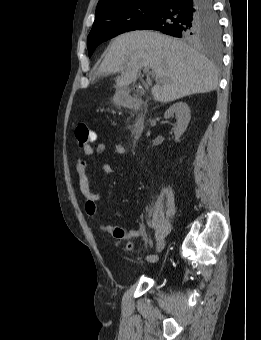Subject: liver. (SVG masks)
<instances>
[{
  "instance_id": "1",
  "label": "liver",
  "mask_w": 261,
  "mask_h": 340,
  "mask_svg": "<svg viewBox=\"0 0 261 340\" xmlns=\"http://www.w3.org/2000/svg\"><path fill=\"white\" fill-rule=\"evenodd\" d=\"M142 67L153 69L156 84L151 92L154 100L162 103L207 93L218 86L217 70L205 56L176 38L153 31L116 37L97 75L120 73L116 88L123 90L137 80Z\"/></svg>"
}]
</instances>
